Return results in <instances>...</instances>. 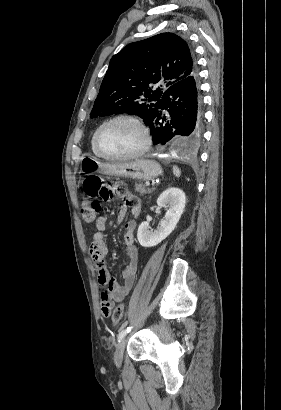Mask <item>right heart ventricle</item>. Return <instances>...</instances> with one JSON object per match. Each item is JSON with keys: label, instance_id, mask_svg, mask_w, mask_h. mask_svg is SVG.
<instances>
[{"label": "right heart ventricle", "instance_id": "1", "mask_svg": "<svg viewBox=\"0 0 281 410\" xmlns=\"http://www.w3.org/2000/svg\"><path fill=\"white\" fill-rule=\"evenodd\" d=\"M91 149H92V151H93V153L96 155V156H99V157H101L98 153H97V151L95 150V147H94V142H93V136H92V138H91Z\"/></svg>", "mask_w": 281, "mask_h": 410}]
</instances>
